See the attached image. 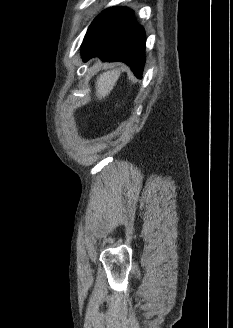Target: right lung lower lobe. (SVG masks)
I'll use <instances>...</instances> for the list:
<instances>
[{"mask_svg":"<svg viewBox=\"0 0 233 328\" xmlns=\"http://www.w3.org/2000/svg\"><path fill=\"white\" fill-rule=\"evenodd\" d=\"M145 33L125 8L103 11L90 25L82 44V58L99 56L103 61H122L142 78L145 63Z\"/></svg>","mask_w":233,"mask_h":328,"instance_id":"98d812e1","label":"right lung lower lobe"}]
</instances>
